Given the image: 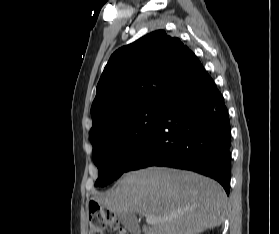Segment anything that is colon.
I'll list each match as a JSON object with an SVG mask.
<instances>
[{"mask_svg": "<svg viewBox=\"0 0 279 234\" xmlns=\"http://www.w3.org/2000/svg\"><path fill=\"white\" fill-rule=\"evenodd\" d=\"M89 234H106L109 229H118V223L112 211L100 207L97 203L89 206ZM120 234H126L120 230Z\"/></svg>", "mask_w": 279, "mask_h": 234, "instance_id": "obj_1", "label": "colon"}]
</instances>
